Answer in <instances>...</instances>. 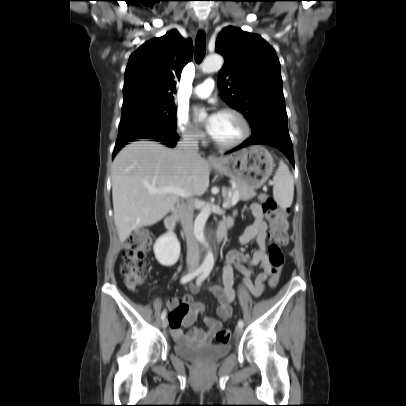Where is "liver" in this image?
I'll return each mask as SVG.
<instances>
[{
  "mask_svg": "<svg viewBox=\"0 0 406 406\" xmlns=\"http://www.w3.org/2000/svg\"><path fill=\"white\" fill-rule=\"evenodd\" d=\"M209 175L204 159L187 160L177 149L154 141H134L124 147L112 165L114 222L120 242L137 228L162 220L179 200L178 195L150 190L175 186L190 195H202Z\"/></svg>",
  "mask_w": 406,
  "mask_h": 406,
  "instance_id": "1",
  "label": "liver"
}]
</instances>
